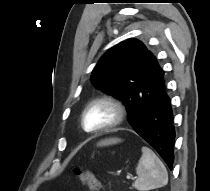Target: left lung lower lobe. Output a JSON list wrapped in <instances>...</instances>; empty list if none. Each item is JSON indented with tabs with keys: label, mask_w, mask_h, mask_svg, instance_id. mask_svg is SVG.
Masks as SVG:
<instances>
[{
	"label": "left lung lower lobe",
	"mask_w": 210,
	"mask_h": 191,
	"mask_svg": "<svg viewBox=\"0 0 210 191\" xmlns=\"http://www.w3.org/2000/svg\"><path fill=\"white\" fill-rule=\"evenodd\" d=\"M155 82L157 83L153 89L139 103L137 116L130 124L134 131L146 140L172 169L175 130L162 69L156 75Z\"/></svg>",
	"instance_id": "left-lung-lower-lobe-1"
}]
</instances>
